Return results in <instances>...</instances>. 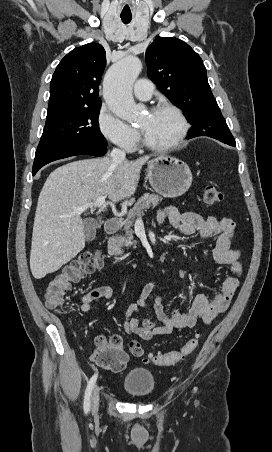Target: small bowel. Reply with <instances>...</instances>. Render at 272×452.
<instances>
[{
	"label": "small bowel",
	"instance_id": "obj_1",
	"mask_svg": "<svg viewBox=\"0 0 272 452\" xmlns=\"http://www.w3.org/2000/svg\"><path fill=\"white\" fill-rule=\"evenodd\" d=\"M157 219L159 223L168 221L173 228L185 236L200 235L203 239L215 238L216 246L213 250V258L217 264L229 266L230 275L213 297L204 294L196 295L187 311L173 309L166 312L161 305V296L156 290L157 283L155 281L148 282L136 302L127 307L123 322L125 332L146 341L154 336L192 328L198 319L210 324L217 315L225 312L229 307L244 271L240 251L232 247L236 227L233 219L203 216L194 211L181 213L173 206L159 209ZM113 295V289L109 286L94 288L81 296L80 310L84 313L89 312L94 304L109 300ZM144 309L151 310L155 319L141 317L140 312ZM105 338V336H99L96 342ZM113 338L121 343L118 335H114ZM133 341L138 342L137 340L131 342Z\"/></svg>",
	"mask_w": 272,
	"mask_h": 452
}]
</instances>
